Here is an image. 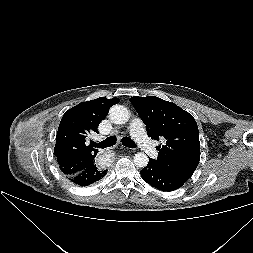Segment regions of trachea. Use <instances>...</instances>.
<instances>
[{"instance_id": "1", "label": "trachea", "mask_w": 253, "mask_h": 253, "mask_svg": "<svg viewBox=\"0 0 253 253\" xmlns=\"http://www.w3.org/2000/svg\"><path fill=\"white\" fill-rule=\"evenodd\" d=\"M115 144H116V138L114 136H110V137H108L107 139L101 141L98 144L93 143V146L104 149V148H107V147H111ZM122 144L126 147H129V148H135L136 147L135 142L132 141L131 138H129V137H123L122 138Z\"/></svg>"}]
</instances>
